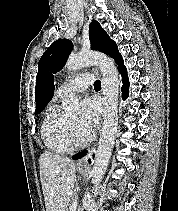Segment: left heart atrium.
Returning a JSON list of instances; mask_svg holds the SVG:
<instances>
[{
	"label": "left heart atrium",
	"mask_w": 178,
	"mask_h": 211,
	"mask_svg": "<svg viewBox=\"0 0 178 211\" xmlns=\"http://www.w3.org/2000/svg\"><path fill=\"white\" fill-rule=\"evenodd\" d=\"M99 115L100 107L98 102L92 97L85 98L81 104L78 127L86 136H89L97 126Z\"/></svg>",
	"instance_id": "39dd6f15"
}]
</instances>
